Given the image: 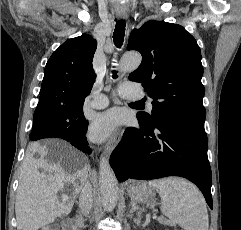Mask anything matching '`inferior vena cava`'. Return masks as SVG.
Instances as JSON below:
<instances>
[{
  "label": "inferior vena cava",
  "instance_id": "1",
  "mask_svg": "<svg viewBox=\"0 0 241 230\" xmlns=\"http://www.w3.org/2000/svg\"><path fill=\"white\" fill-rule=\"evenodd\" d=\"M93 203L92 187L90 183H85L79 196V208L81 213L88 216Z\"/></svg>",
  "mask_w": 241,
  "mask_h": 230
}]
</instances>
